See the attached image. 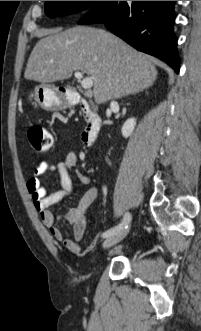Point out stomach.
Returning a JSON list of instances; mask_svg holds the SVG:
<instances>
[{
	"mask_svg": "<svg viewBox=\"0 0 201 331\" xmlns=\"http://www.w3.org/2000/svg\"><path fill=\"white\" fill-rule=\"evenodd\" d=\"M30 100L44 110L55 111L65 107L66 102L48 85L41 84L34 88L29 95Z\"/></svg>",
	"mask_w": 201,
	"mask_h": 331,
	"instance_id": "1",
	"label": "stomach"
}]
</instances>
